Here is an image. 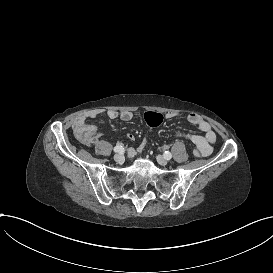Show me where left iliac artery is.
I'll list each match as a JSON object with an SVG mask.
<instances>
[{
    "label": "left iliac artery",
    "instance_id": "obj_1",
    "mask_svg": "<svg viewBox=\"0 0 273 273\" xmlns=\"http://www.w3.org/2000/svg\"><path fill=\"white\" fill-rule=\"evenodd\" d=\"M164 155L167 160H170L172 158V154L168 151H166Z\"/></svg>",
    "mask_w": 273,
    "mask_h": 273
}]
</instances>
